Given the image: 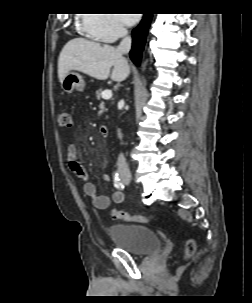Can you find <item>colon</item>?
<instances>
[{"mask_svg": "<svg viewBox=\"0 0 252 303\" xmlns=\"http://www.w3.org/2000/svg\"><path fill=\"white\" fill-rule=\"evenodd\" d=\"M59 124L62 127H69L71 125V116L68 111H61L59 114ZM113 220H121L126 222H137V223H146L152 219L149 215L143 214H132L123 210H113L111 213ZM195 252V246L192 242L186 244L184 250V258L191 257Z\"/></svg>", "mask_w": 252, "mask_h": 303, "instance_id": "1", "label": "colon"}]
</instances>
